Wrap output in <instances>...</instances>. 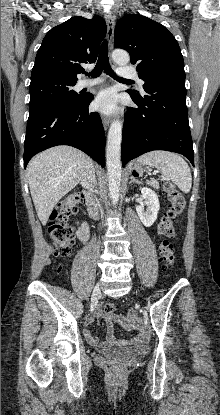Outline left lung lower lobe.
I'll return each mask as SVG.
<instances>
[{
	"label": "left lung lower lobe",
	"mask_w": 220,
	"mask_h": 415,
	"mask_svg": "<svg viewBox=\"0 0 220 415\" xmlns=\"http://www.w3.org/2000/svg\"><path fill=\"white\" fill-rule=\"evenodd\" d=\"M144 91L143 96L128 91L138 108H129L126 114L122 166L153 150L180 153L194 166L185 81L157 80L144 84Z\"/></svg>",
	"instance_id": "0a47b994"
}]
</instances>
